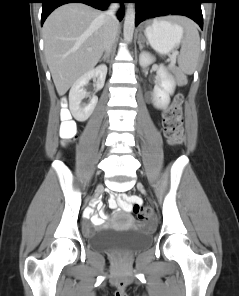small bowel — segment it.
<instances>
[{"instance_id": "c3829d8e", "label": "small bowel", "mask_w": 239, "mask_h": 296, "mask_svg": "<svg viewBox=\"0 0 239 296\" xmlns=\"http://www.w3.org/2000/svg\"><path fill=\"white\" fill-rule=\"evenodd\" d=\"M141 203V200L135 196L130 195H116L111 196L109 200V206L112 209L120 208L121 210L125 212H130L132 203ZM86 215L90 217L91 222L96 226H101L104 224L105 220L108 218V214L101 210L100 214H96L90 210L86 211Z\"/></svg>"}]
</instances>
